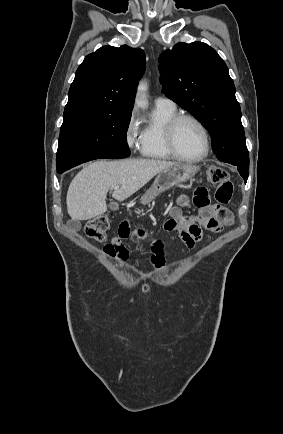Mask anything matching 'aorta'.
Masks as SVG:
<instances>
[{
	"mask_svg": "<svg viewBox=\"0 0 283 434\" xmlns=\"http://www.w3.org/2000/svg\"><path fill=\"white\" fill-rule=\"evenodd\" d=\"M147 91V83L145 81H142L139 83L138 85V89H137V98H136V105L141 107V108H146L147 107V100H146V95L145 92Z\"/></svg>",
	"mask_w": 283,
	"mask_h": 434,
	"instance_id": "1",
	"label": "aorta"
}]
</instances>
